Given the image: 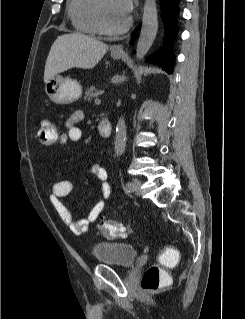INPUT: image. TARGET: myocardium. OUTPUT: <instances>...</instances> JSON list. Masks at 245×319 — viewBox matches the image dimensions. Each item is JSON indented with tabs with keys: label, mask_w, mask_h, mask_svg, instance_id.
Wrapping results in <instances>:
<instances>
[{
	"label": "myocardium",
	"mask_w": 245,
	"mask_h": 319,
	"mask_svg": "<svg viewBox=\"0 0 245 319\" xmlns=\"http://www.w3.org/2000/svg\"><path fill=\"white\" fill-rule=\"evenodd\" d=\"M96 19L98 28L100 30V33L109 35V36H115L125 33L130 25H131V18H127V20L119 27H110L104 17V11H103V0H98L96 5Z\"/></svg>",
	"instance_id": "f54148a6"
}]
</instances>
